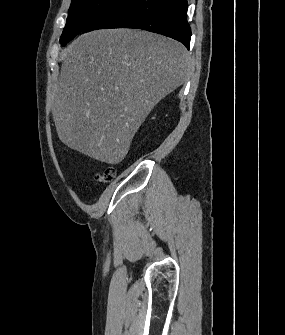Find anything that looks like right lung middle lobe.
Segmentation results:
<instances>
[{
  "mask_svg": "<svg viewBox=\"0 0 285 335\" xmlns=\"http://www.w3.org/2000/svg\"><path fill=\"white\" fill-rule=\"evenodd\" d=\"M117 0H72L60 42L64 46Z\"/></svg>",
  "mask_w": 285,
  "mask_h": 335,
  "instance_id": "right-lung-middle-lobe-1",
  "label": "right lung middle lobe"
}]
</instances>
